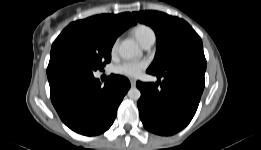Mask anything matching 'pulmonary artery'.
Instances as JSON below:
<instances>
[{
    "mask_svg": "<svg viewBox=\"0 0 261 150\" xmlns=\"http://www.w3.org/2000/svg\"><path fill=\"white\" fill-rule=\"evenodd\" d=\"M155 34H150L141 44L144 49H150L155 43Z\"/></svg>",
    "mask_w": 261,
    "mask_h": 150,
    "instance_id": "1",
    "label": "pulmonary artery"
}]
</instances>
